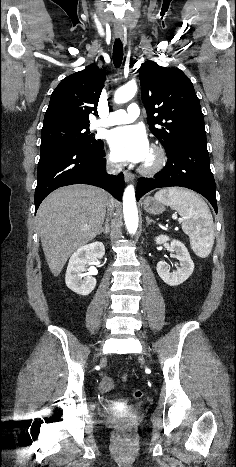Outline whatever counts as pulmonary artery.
Masks as SVG:
<instances>
[{
    "label": "pulmonary artery",
    "mask_w": 236,
    "mask_h": 467,
    "mask_svg": "<svg viewBox=\"0 0 236 467\" xmlns=\"http://www.w3.org/2000/svg\"><path fill=\"white\" fill-rule=\"evenodd\" d=\"M140 115V108L136 103L128 106L127 110H116L111 112L106 119H99L94 122V126H113L123 123H130Z\"/></svg>",
    "instance_id": "pulmonary-artery-1"
}]
</instances>
